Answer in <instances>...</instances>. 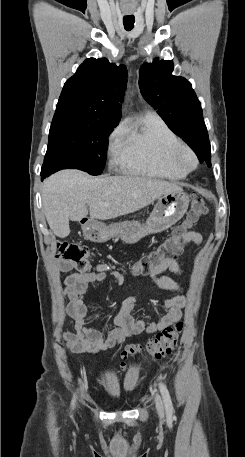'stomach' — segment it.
I'll return each mask as SVG.
<instances>
[{
	"label": "stomach",
	"mask_w": 245,
	"mask_h": 457,
	"mask_svg": "<svg viewBox=\"0 0 245 457\" xmlns=\"http://www.w3.org/2000/svg\"><path fill=\"white\" fill-rule=\"evenodd\" d=\"M189 206V196L185 192H168L158 198L145 224L138 220H123L103 224L99 220H80L82 231L89 241L105 243L112 237H120L124 243H137L151 233H162L184 216Z\"/></svg>",
	"instance_id": "obj_1"
}]
</instances>
